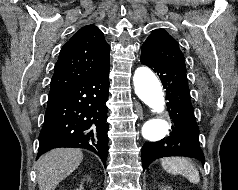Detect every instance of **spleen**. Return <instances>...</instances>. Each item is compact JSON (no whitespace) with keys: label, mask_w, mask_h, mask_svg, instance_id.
Wrapping results in <instances>:
<instances>
[{"label":"spleen","mask_w":238,"mask_h":190,"mask_svg":"<svg viewBox=\"0 0 238 190\" xmlns=\"http://www.w3.org/2000/svg\"><path fill=\"white\" fill-rule=\"evenodd\" d=\"M162 167L168 173L185 176L191 183L198 184L200 181L199 171L186 158L172 157L161 161Z\"/></svg>","instance_id":"obj_1"}]
</instances>
